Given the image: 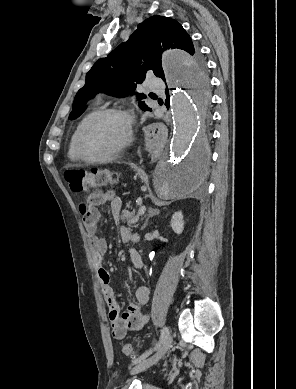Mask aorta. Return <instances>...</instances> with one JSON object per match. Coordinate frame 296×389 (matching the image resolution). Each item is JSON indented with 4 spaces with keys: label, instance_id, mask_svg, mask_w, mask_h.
Returning <instances> with one entry per match:
<instances>
[{
    "label": "aorta",
    "instance_id": "1",
    "mask_svg": "<svg viewBox=\"0 0 296 389\" xmlns=\"http://www.w3.org/2000/svg\"><path fill=\"white\" fill-rule=\"evenodd\" d=\"M182 50L164 53L163 73L171 90L174 134L167 150V163L158 171L155 193L162 198L181 197L201 189L212 149L205 134L209 112L208 75L205 67H191Z\"/></svg>",
    "mask_w": 296,
    "mask_h": 389
}]
</instances>
